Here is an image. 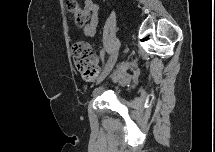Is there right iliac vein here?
<instances>
[{
	"label": "right iliac vein",
	"instance_id": "1",
	"mask_svg": "<svg viewBox=\"0 0 215 152\" xmlns=\"http://www.w3.org/2000/svg\"><path fill=\"white\" fill-rule=\"evenodd\" d=\"M118 57V51L115 52L108 60L107 64L105 65L103 72L101 73L100 77L98 78L97 84H100L112 71L113 67L116 64Z\"/></svg>",
	"mask_w": 215,
	"mask_h": 152
}]
</instances>
